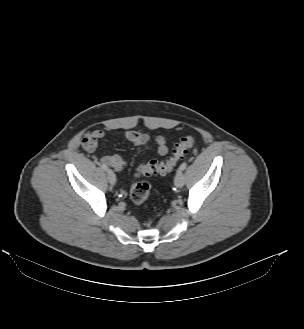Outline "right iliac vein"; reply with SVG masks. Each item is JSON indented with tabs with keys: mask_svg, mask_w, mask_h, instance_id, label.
<instances>
[{
	"mask_svg": "<svg viewBox=\"0 0 304 329\" xmlns=\"http://www.w3.org/2000/svg\"><path fill=\"white\" fill-rule=\"evenodd\" d=\"M107 177L111 185H115L116 183V176L112 170H108Z\"/></svg>",
	"mask_w": 304,
	"mask_h": 329,
	"instance_id": "1",
	"label": "right iliac vein"
}]
</instances>
